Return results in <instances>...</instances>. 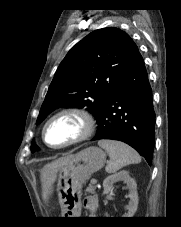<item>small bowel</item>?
<instances>
[{
    "instance_id": "c3829d8e",
    "label": "small bowel",
    "mask_w": 181,
    "mask_h": 227,
    "mask_svg": "<svg viewBox=\"0 0 181 227\" xmlns=\"http://www.w3.org/2000/svg\"><path fill=\"white\" fill-rule=\"evenodd\" d=\"M84 204L91 216H95L97 214L99 203L96 196H88L85 199Z\"/></svg>"
}]
</instances>
